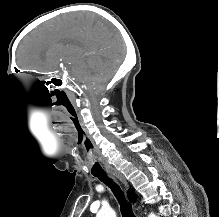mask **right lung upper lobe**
Listing matches in <instances>:
<instances>
[{
	"label": "right lung upper lobe",
	"instance_id": "right-lung-upper-lobe-1",
	"mask_svg": "<svg viewBox=\"0 0 219 217\" xmlns=\"http://www.w3.org/2000/svg\"><path fill=\"white\" fill-rule=\"evenodd\" d=\"M128 197H129V199L131 200V201H135V194H134V192L132 191V190H130L129 192H128Z\"/></svg>",
	"mask_w": 219,
	"mask_h": 217
}]
</instances>
